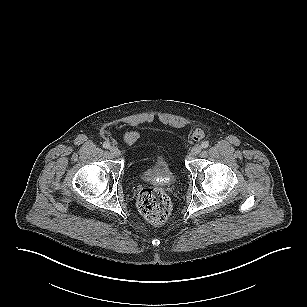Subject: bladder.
I'll return each mask as SVG.
<instances>
[{
  "label": "bladder",
  "mask_w": 307,
  "mask_h": 307,
  "mask_svg": "<svg viewBox=\"0 0 307 307\" xmlns=\"http://www.w3.org/2000/svg\"><path fill=\"white\" fill-rule=\"evenodd\" d=\"M141 175L144 179L158 181L170 178L171 171L166 161L158 157L152 165L142 170Z\"/></svg>",
  "instance_id": "1"
}]
</instances>
